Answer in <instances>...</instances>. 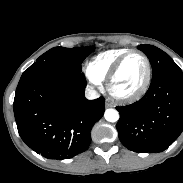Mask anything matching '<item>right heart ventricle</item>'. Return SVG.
Here are the masks:
<instances>
[{
    "instance_id": "e07e8e85",
    "label": "right heart ventricle",
    "mask_w": 183,
    "mask_h": 183,
    "mask_svg": "<svg viewBox=\"0 0 183 183\" xmlns=\"http://www.w3.org/2000/svg\"><path fill=\"white\" fill-rule=\"evenodd\" d=\"M128 49L118 48L100 52L94 56L89 64V69L99 80H104L116 60Z\"/></svg>"
}]
</instances>
